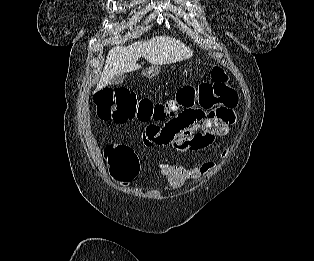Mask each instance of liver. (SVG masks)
Returning <instances> with one entry per match:
<instances>
[{
    "label": "liver",
    "mask_w": 314,
    "mask_h": 261,
    "mask_svg": "<svg viewBox=\"0 0 314 261\" xmlns=\"http://www.w3.org/2000/svg\"><path fill=\"white\" fill-rule=\"evenodd\" d=\"M193 50L177 39L156 36L147 41H138L129 46H116L109 50L103 72L96 91L106 87L120 73H128L141 68L137 64L140 57L152 65L171 64L190 58Z\"/></svg>",
    "instance_id": "1"
}]
</instances>
